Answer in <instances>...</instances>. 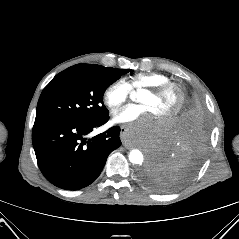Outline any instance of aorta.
<instances>
[{
	"instance_id": "1",
	"label": "aorta",
	"mask_w": 239,
	"mask_h": 239,
	"mask_svg": "<svg viewBox=\"0 0 239 239\" xmlns=\"http://www.w3.org/2000/svg\"><path fill=\"white\" fill-rule=\"evenodd\" d=\"M131 98L134 99L135 98V95L132 94L131 95ZM129 161L132 163V164H136V165H141L143 162H144V155L143 153L138 150V149H133L129 152Z\"/></svg>"
}]
</instances>
